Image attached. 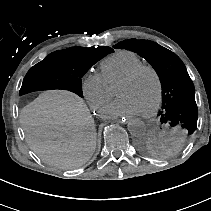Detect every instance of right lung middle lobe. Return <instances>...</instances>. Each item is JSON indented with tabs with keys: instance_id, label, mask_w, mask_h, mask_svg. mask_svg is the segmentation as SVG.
I'll return each instance as SVG.
<instances>
[{
	"instance_id": "obj_1",
	"label": "right lung middle lobe",
	"mask_w": 211,
	"mask_h": 211,
	"mask_svg": "<svg viewBox=\"0 0 211 211\" xmlns=\"http://www.w3.org/2000/svg\"><path fill=\"white\" fill-rule=\"evenodd\" d=\"M107 53L84 47L55 51L26 74L20 94L40 90L65 89L83 96L81 78Z\"/></svg>"
}]
</instances>
